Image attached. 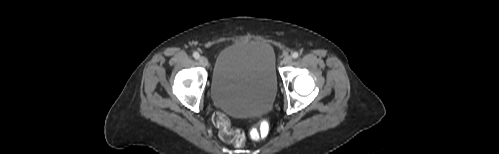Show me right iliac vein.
Instances as JSON below:
<instances>
[{
  "mask_svg": "<svg viewBox=\"0 0 499 154\" xmlns=\"http://www.w3.org/2000/svg\"><path fill=\"white\" fill-rule=\"evenodd\" d=\"M199 62H200V64H201V65H203V66H205V67H206V66H208V60H207V58H206V57H204V56H201V57H200Z\"/></svg>",
  "mask_w": 499,
  "mask_h": 154,
  "instance_id": "obj_1",
  "label": "right iliac vein"
}]
</instances>
